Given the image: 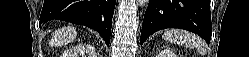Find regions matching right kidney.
Masks as SVG:
<instances>
[{"label": "right kidney", "mask_w": 249, "mask_h": 57, "mask_svg": "<svg viewBox=\"0 0 249 57\" xmlns=\"http://www.w3.org/2000/svg\"><path fill=\"white\" fill-rule=\"evenodd\" d=\"M77 55H78L77 51H72V52H69V53H64L62 55V57H77Z\"/></svg>", "instance_id": "obj_1"}]
</instances>
